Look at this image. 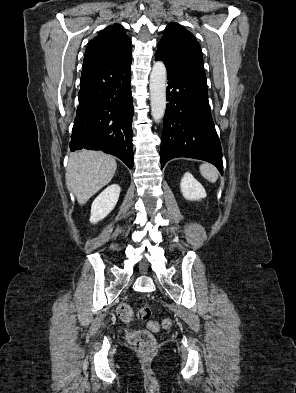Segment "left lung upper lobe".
Segmentation results:
<instances>
[{
  "mask_svg": "<svg viewBox=\"0 0 296 393\" xmlns=\"http://www.w3.org/2000/svg\"><path fill=\"white\" fill-rule=\"evenodd\" d=\"M167 67L204 73L201 47L192 33L177 23H170L155 53Z\"/></svg>",
  "mask_w": 296,
  "mask_h": 393,
  "instance_id": "1",
  "label": "left lung upper lobe"
}]
</instances>
